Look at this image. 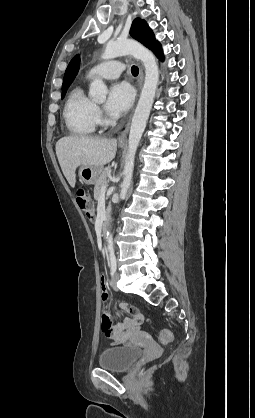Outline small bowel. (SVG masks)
<instances>
[{
  "mask_svg": "<svg viewBox=\"0 0 255 418\" xmlns=\"http://www.w3.org/2000/svg\"><path fill=\"white\" fill-rule=\"evenodd\" d=\"M103 284L104 279L102 277V300L106 302L107 293ZM121 307L123 311L129 315V317L123 322L112 326L109 313L104 312L102 314L101 327L107 339H110L115 343L129 345L132 341L142 336L136 332V328L142 322L143 316L136 308L129 307L126 303H122Z\"/></svg>",
  "mask_w": 255,
  "mask_h": 418,
  "instance_id": "1",
  "label": "small bowel"
}]
</instances>
